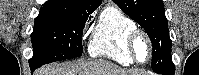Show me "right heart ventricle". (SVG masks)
I'll return each mask as SVG.
<instances>
[{
	"label": "right heart ventricle",
	"instance_id": "right-heart-ventricle-1",
	"mask_svg": "<svg viewBox=\"0 0 199 75\" xmlns=\"http://www.w3.org/2000/svg\"><path fill=\"white\" fill-rule=\"evenodd\" d=\"M136 28L134 20L123 11L109 7L100 16L90 38L89 53L107 57L121 65L134 63L128 50V33Z\"/></svg>",
	"mask_w": 199,
	"mask_h": 75
}]
</instances>
